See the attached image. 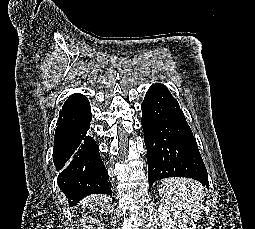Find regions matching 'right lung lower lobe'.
Returning a JSON list of instances; mask_svg holds the SVG:
<instances>
[{
  "label": "right lung lower lobe",
  "instance_id": "98d812e1",
  "mask_svg": "<svg viewBox=\"0 0 255 229\" xmlns=\"http://www.w3.org/2000/svg\"><path fill=\"white\" fill-rule=\"evenodd\" d=\"M91 108L88 99L79 93L64 103L57 121L53 160L60 189L70 206L90 194L112 195L108 173L99 155V148L90 136Z\"/></svg>",
  "mask_w": 255,
  "mask_h": 229
}]
</instances>
